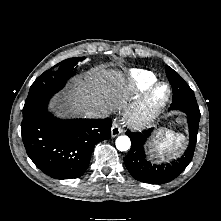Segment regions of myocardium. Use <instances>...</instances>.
Returning <instances> with one entry per match:
<instances>
[{
	"instance_id": "myocardium-1",
	"label": "myocardium",
	"mask_w": 221,
	"mask_h": 221,
	"mask_svg": "<svg viewBox=\"0 0 221 221\" xmlns=\"http://www.w3.org/2000/svg\"><path fill=\"white\" fill-rule=\"evenodd\" d=\"M164 88V93L160 90ZM172 95L169 84L159 82L154 84L140 101L137 108L128 115L129 121L135 127H144L151 124L168 104Z\"/></svg>"
}]
</instances>
